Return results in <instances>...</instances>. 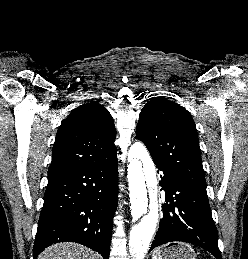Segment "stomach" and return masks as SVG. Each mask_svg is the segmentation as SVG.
Wrapping results in <instances>:
<instances>
[{
  "mask_svg": "<svg viewBox=\"0 0 248 259\" xmlns=\"http://www.w3.org/2000/svg\"><path fill=\"white\" fill-rule=\"evenodd\" d=\"M155 255V259H196L194 249L183 242L164 245L155 251Z\"/></svg>",
  "mask_w": 248,
  "mask_h": 259,
  "instance_id": "stomach-1",
  "label": "stomach"
}]
</instances>
